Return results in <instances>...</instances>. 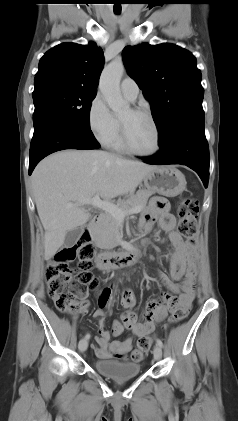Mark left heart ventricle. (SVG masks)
<instances>
[{
  "label": "left heart ventricle",
  "instance_id": "b2bd125f",
  "mask_svg": "<svg viewBox=\"0 0 238 421\" xmlns=\"http://www.w3.org/2000/svg\"><path fill=\"white\" fill-rule=\"evenodd\" d=\"M119 118L125 124L129 141L134 149L147 153L155 148L156 134L147 116L127 109Z\"/></svg>",
  "mask_w": 238,
  "mask_h": 421
}]
</instances>
